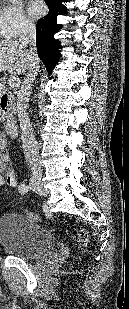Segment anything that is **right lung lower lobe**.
<instances>
[{
	"label": "right lung lower lobe",
	"instance_id": "98d812e1",
	"mask_svg": "<svg viewBox=\"0 0 129 309\" xmlns=\"http://www.w3.org/2000/svg\"><path fill=\"white\" fill-rule=\"evenodd\" d=\"M65 0H45L49 7V13L39 20L36 25V46L40 59L46 65L50 73L56 64L59 53V43L54 39V34L59 30L57 16L65 12V7L61 4Z\"/></svg>",
	"mask_w": 129,
	"mask_h": 309
}]
</instances>
